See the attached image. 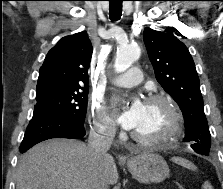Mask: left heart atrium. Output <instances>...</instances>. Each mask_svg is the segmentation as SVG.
Here are the masks:
<instances>
[{
	"label": "left heart atrium",
	"mask_w": 223,
	"mask_h": 189,
	"mask_svg": "<svg viewBox=\"0 0 223 189\" xmlns=\"http://www.w3.org/2000/svg\"><path fill=\"white\" fill-rule=\"evenodd\" d=\"M118 123L127 130L137 127L144 114V103L137 97L133 98L128 105H122L116 100Z\"/></svg>",
	"instance_id": "1"
}]
</instances>
